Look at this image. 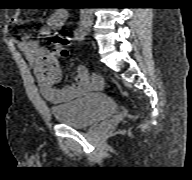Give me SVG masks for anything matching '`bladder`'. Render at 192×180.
<instances>
[{
    "label": "bladder",
    "mask_w": 192,
    "mask_h": 180,
    "mask_svg": "<svg viewBox=\"0 0 192 180\" xmlns=\"http://www.w3.org/2000/svg\"><path fill=\"white\" fill-rule=\"evenodd\" d=\"M116 109L114 101L103 93L91 94L50 108L58 122L75 128L106 119L113 115Z\"/></svg>",
    "instance_id": "31cf9c89"
}]
</instances>
